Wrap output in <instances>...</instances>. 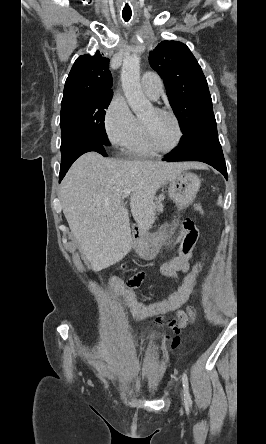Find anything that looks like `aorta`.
Instances as JSON below:
<instances>
[{"mask_svg":"<svg viewBox=\"0 0 266 444\" xmlns=\"http://www.w3.org/2000/svg\"><path fill=\"white\" fill-rule=\"evenodd\" d=\"M121 82L127 102L137 116L151 109L152 105L145 97L140 84V57L132 55L124 59Z\"/></svg>","mask_w":266,"mask_h":444,"instance_id":"obj_1","label":"aorta"}]
</instances>
